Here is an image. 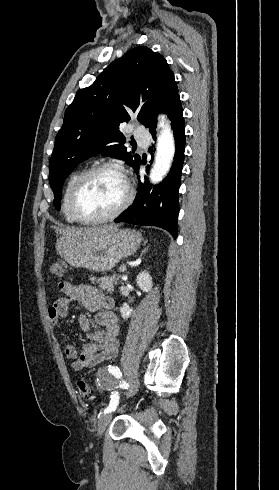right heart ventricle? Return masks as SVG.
<instances>
[{"label":"right heart ventricle","mask_w":279,"mask_h":490,"mask_svg":"<svg viewBox=\"0 0 279 490\" xmlns=\"http://www.w3.org/2000/svg\"><path fill=\"white\" fill-rule=\"evenodd\" d=\"M82 173H83L82 170L73 171L66 179L63 187L62 199H61V212L63 218L69 224H79L71 209V198H72V192L74 186Z\"/></svg>","instance_id":"right-heart-ventricle-1"}]
</instances>
